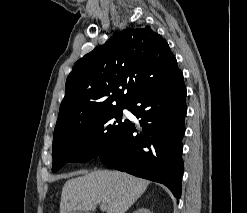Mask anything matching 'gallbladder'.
<instances>
[{"label":"gallbladder","instance_id":"bac80fb5","mask_svg":"<svg viewBox=\"0 0 247 213\" xmlns=\"http://www.w3.org/2000/svg\"><path fill=\"white\" fill-rule=\"evenodd\" d=\"M72 213H82V212H79V211H74V212H72Z\"/></svg>","mask_w":247,"mask_h":213}]
</instances>
